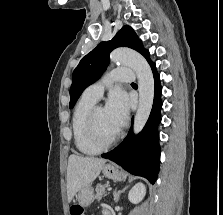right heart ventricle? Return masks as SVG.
Segmentation results:
<instances>
[{"mask_svg": "<svg viewBox=\"0 0 223 215\" xmlns=\"http://www.w3.org/2000/svg\"><path fill=\"white\" fill-rule=\"evenodd\" d=\"M96 101L82 96L77 103L72 118V135L76 149L85 155H97L99 152L91 145L87 136V124Z\"/></svg>", "mask_w": 223, "mask_h": 215, "instance_id": "obj_1", "label": "right heart ventricle"}]
</instances>
